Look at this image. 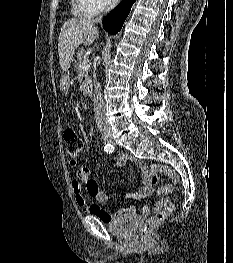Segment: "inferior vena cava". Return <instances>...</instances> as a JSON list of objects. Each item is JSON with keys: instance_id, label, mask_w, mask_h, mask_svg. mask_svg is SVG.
<instances>
[{"instance_id": "602c4592", "label": "inferior vena cava", "mask_w": 233, "mask_h": 263, "mask_svg": "<svg viewBox=\"0 0 233 263\" xmlns=\"http://www.w3.org/2000/svg\"><path fill=\"white\" fill-rule=\"evenodd\" d=\"M116 3V0H109V3L106 7L105 13H107L110 9L114 7ZM103 18V15H100L96 19H94V22H101ZM95 104H94V113L97 125L102 130H111V127L109 123L107 122V118L105 116V103L101 94V85L99 83L95 86Z\"/></svg>"}]
</instances>
